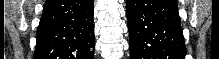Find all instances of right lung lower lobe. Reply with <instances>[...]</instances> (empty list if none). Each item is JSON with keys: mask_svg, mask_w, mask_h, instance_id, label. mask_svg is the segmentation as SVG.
<instances>
[{"mask_svg": "<svg viewBox=\"0 0 219 59\" xmlns=\"http://www.w3.org/2000/svg\"><path fill=\"white\" fill-rule=\"evenodd\" d=\"M93 0H46L34 59H93Z\"/></svg>", "mask_w": 219, "mask_h": 59, "instance_id": "98d812e1", "label": "right lung lower lobe"}]
</instances>
